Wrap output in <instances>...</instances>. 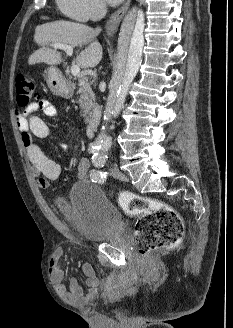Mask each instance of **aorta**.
Returning <instances> with one entry per match:
<instances>
[{"instance_id": "762f6f07", "label": "aorta", "mask_w": 233, "mask_h": 328, "mask_svg": "<svg viewBox=\"0 0 233 328\" xmlns=\"http://www.w3.org/2000/svg\"><path fill=\"white\" fill-rule=\"evenodd\" d=\"M144 14L132 8L124 17L117 47L116 66L109 83V94L104 110V123L95 144L111 147V139L104 133L107 123L119 115L125 103L128 87L136 76L142 61L144 46Z\"/></svg>"}]
</instances>
